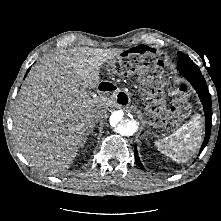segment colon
<instances>
[{
    "label": "colon",
    "mask_w": 221,
    "mask_h": 221,
    "mask_svg": "<svg viewBox=\"0 0 221 221\" xmlns=\"http://www.w3.org/2000/svg\"><path fill=\"white\" fill-rule=\"evenodd\" d=\"M154 61V55L145 47H138L132 49L122 55V57L115 63L114 70L117 73H123L132 63L139 65H152ZM180 90H182L180 88ZM187 106L182 99L179 97L176 101V111L179 114H185Z\"/></svg>",
    "instance_id": "1"
}]
</instances>
